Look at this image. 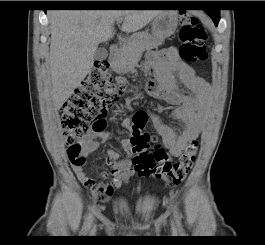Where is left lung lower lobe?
<instances>
[{"label":"left lung lower lobe","mask_w":265,"mask_h":245,"mask_svg":"<svg viewBox=\"0 0 265 245\" xmlns=\"http://www.w3.org/2000/svg\"><path fill=\"white\" fill-rule=\"evenodd\" d=\"M206 13L213 19L215 25L218 24L220 20V10L218 9H210V10H205Z\"/></svg>","instance_id":"1"}]
</instances>
